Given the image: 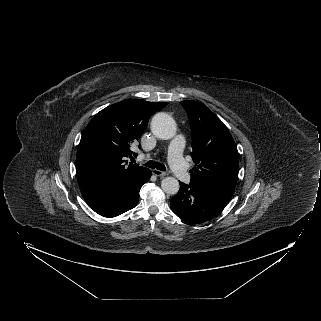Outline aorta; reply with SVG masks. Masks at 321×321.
Listing matches in <instances>:
<instances>
[{
	"label": "aorta",
	"instance_id": "1",
	"mask_svg": "<svg viewBox=\"0 0 321 321\" xmlns=\"http://www.w3.org/2000/svg\"><path fill=\"white\" fill-rule=\"evenodd\" d=\"M151 131L159 139L168 140L175 136L176 123L166 113H157L151 121ZM179 182L176 178L168 176L161 182L162 190L169 195H175L179 191Z\"/></svg>",
	"mask_w": 321,
	"mask_h": 321
}]
</instances>
